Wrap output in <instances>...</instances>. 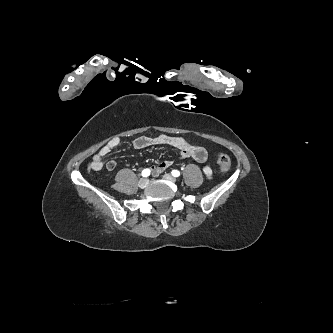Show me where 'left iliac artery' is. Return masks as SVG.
Instances as JSON below:
<instances>
[{"label":"left iliac artery","instance_id":"left-iliac-artery-1","mask_svg":"<svg viewBox=\"0 0 333 333\" xmlns=\"http://www.w3.org/2000/svg\"><path fill=\"white\" fill-rule=\"evenodd\" d=\"M171 173L174 177H179L180 176V172L178 170H172Z\"/></svg>","mask_w":333,"mask_h":333}]
</instances>
